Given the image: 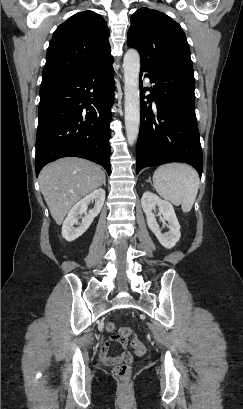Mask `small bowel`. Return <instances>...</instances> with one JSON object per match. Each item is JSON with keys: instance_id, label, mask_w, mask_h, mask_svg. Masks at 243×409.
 Returning a JSON list of instances; mask_svg holds the SVG:
<instances>
[{"instance_id": "1", "label": "small bowel", "mask_w": 243, "mask_h": 409, "mask_svg": "<svg viewBox=\"0 0 243 409\" xmlns=\"http://www.w3.org/2000/svg\"><path fill=\"white\" fill-rule=\"evenodd\" d=\"M118 343L121 345L123 348L127 347V340L122 341L119 340L118 338L115 337H110L106 340L103 341L102 346L99 350V359L100 361L105 364V365H115L118 362H126V361H131L132 356L129 351H124L123 353L117 355V356H111L110 355V345L111 343Z\"/></svg>"}]
</instances>
